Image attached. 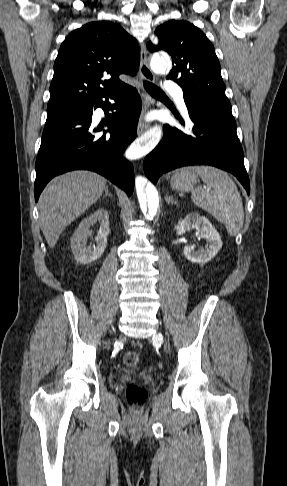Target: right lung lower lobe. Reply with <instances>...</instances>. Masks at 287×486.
Masks as SVG:
<instances>
[{
  "instance_id": "obj_1",
  "label": "right lung lower lobe",
  "mask_w": 287,
  "mask_h": 486,
  "mask_svg": "<svg viewBox=\"0 0 287 486\" xmlns=\"http://www.w3.org/2000/svg\"><path fill=\"white\" fill-rule=\"evenodd\" d=\"M102 98H106L105 101ZM108 99L115 100L111 106ZM116 110L105 125L109 134L97 135L104 123L92 124L93 110ZM141 112V99L131 86L94 99L79 113L45 123L36 159L35 201L46 184L59 174L71 170L97 172L131 195L134 188L132 164L123 158L126 147L135 139Z\"/></svg>"
}]
</instances>
